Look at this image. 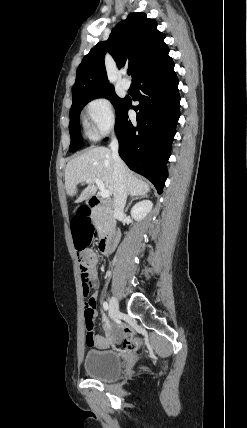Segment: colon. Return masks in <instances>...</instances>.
Masks as SVG:
<instances>
[{"label": "colon", "instance_id": "5ec220e1", "mask_svg": "<svg viewBox=\"0 0 247 428\" xmlns=\"http://www.w3.org/2000/svg\"><path fill=\"white\" fill-rule=\"evenodd\" d=\"M74 211L71 212L70 218L73 223L71 224V238L73 239V246L77 247V256L80 265L81 279L83 284V294L85 297L89 296L91 284L94 278V271L88 263L86 256L82 253L83 247L87 246V239L94 238V224L92 218L89 217L88 212L85 211L83 204H76ZM94 316L95 309L90 303L85 302L84 319H85V333L88 340H93L94 335ZM126 337L124 339V347L127 349H137L141 345V339L132 336V331L129 327H125Z\"/></svg>", "mask_w": 247, "mask_h": 428}]
</instances>
